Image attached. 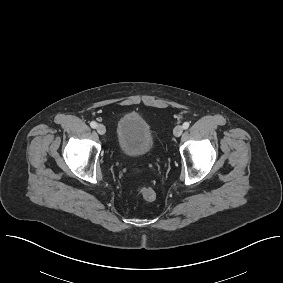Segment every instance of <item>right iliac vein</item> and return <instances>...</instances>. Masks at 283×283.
Listing matches in <instances>:
<instances>
[{
  "instance_id": "obj_1",
  "label": "right iliac vein",
  "mask_w": 283,
  "mask_h": 283,
  "mask_svg": "<svg viewBox=\"0 0 283 283\" xmlns=\"http://www.w3.org/2000/svg\"><path fill=\"white\" fill-rule=\"evenodd\" d=\"M96 130L100 135H104L106 133V128L103 124H98Z\"/></svg>"
}]
</instances>
